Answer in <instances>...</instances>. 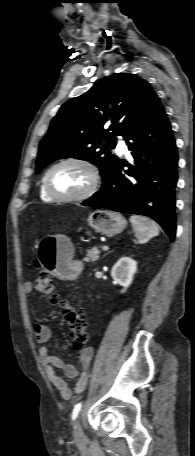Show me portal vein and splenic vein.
Wrapping results in <instances>:
<instances>
[{"label":"portal vein and splenic vein","instance_id":"obj_1","mask_svg":"<svg viewBox=\"0 0 195 456\" xmlns=\"http://www.w3.org/2000/svg\"><path fill=\"white\" fill-rule=\"evenodd\" d=\"M102 250H103V251H108V250H109V247L106 246V245H105V246H102Z\"/></svg>","mask_w":195,"mask_h":456}]
</instances>
